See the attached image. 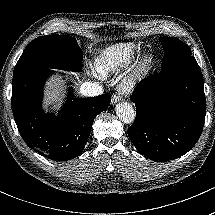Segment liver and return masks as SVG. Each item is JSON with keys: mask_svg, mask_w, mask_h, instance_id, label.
I'll return each instance as SVG.
<instances>
[{"mask_svg": "<svg viewBox=\"0 0 215 215\" xmlns=\"http://www.w3.org/2000/svg\"><path fill=\"white\" fill-rule=\"evenodd\" d=\"M72 74V73H71ZM63 81L60 77H52L47 83L44 91V108L49 104L58 102L54 107L59 108L61 106L60 91H62Z\"/></svg>", "mask_w": 215, "mask_h": 215, "instance_id": "obj_1", "label": "liver"}]
</instances>
